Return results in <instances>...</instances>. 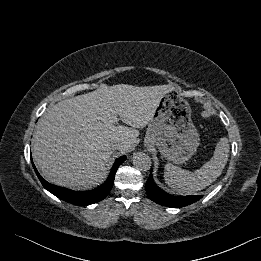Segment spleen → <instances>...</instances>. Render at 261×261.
I'll list each match as a JSON object with an SVG mask.
<instances>
[{"label": "spleen", "mask_w": 261, "mask_h": 261, "mask_svg": "<svg viewBox=\"0 0 261 261\" xmlns=\"http://www.w3.org/2000/svg\"><path fill=\"white\" fill-rule=\"evenodd\" d=\"M229 157V142L220 139L210 161L195 172H189L172 164L165 165L164 180L173 190L181 194H194L213 183L222 173Z\"/></svg>", "instance_id": "obj_1"}]
</instances>
